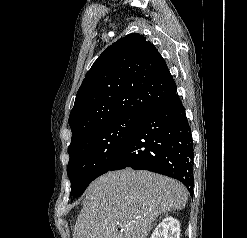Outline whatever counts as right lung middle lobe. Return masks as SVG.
Masks as SVG:
<instances>
[{"mask_svg": "<svg viewBox=\"0 0 247 238\" xmlns=\"http://www.w3.org/2000/svg\"><path fill=\"white\" fill-rule=\"evenodd\" d=\"M141 115H125L94 127L71 141L67 174L71 195H81L98 176L106 173L126 144Z\"/></svg>", "mask_w": 247, "mask_h": 238, "instance_id": "right-lung-middle-lobe-1", "label": "right lung middle lobe"}]
</instances>
